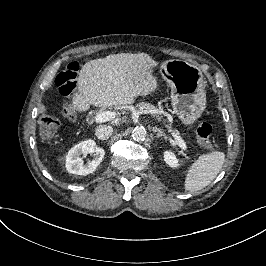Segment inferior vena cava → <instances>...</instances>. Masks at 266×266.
Listing matches in <instances>:
<instances>
[{
    "label": "inferior vena cava",
    "instance_id": "1",
    "mask_svg": "<svg viewBox=\"0 0 266 266\" xmlns=\"http://www.w3.org/2000/svg\"><path fill=\"white\" fill-rule=\"evenodd\" d=\"M112 135V129L109 126L100 125L95 129V136L99 140H107Z\"/></svg>",
    "mask_w": 266,
    "mask_h": 266
}]
</instances>
